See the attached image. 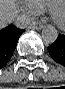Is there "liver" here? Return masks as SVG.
I'll list each match as a JSON object with an SVG mask.
<instances>
[{
  "instance_id": "liver-1",
  "label": "liver",
  "mask_w": 65,
  "mask_h": 89,
  "mask_svg": "<svg viewBox=\"0 0 65 89\" xmlns=\"http://www.w3.org/2000/svg\"><path fill=\"white\" fill-rule=\"evenodd\" d=\"M17 2L15 0H0V27H5L18 15Z\"/></svg>"
}]
</instances>
